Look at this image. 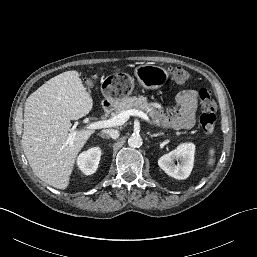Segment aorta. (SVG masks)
Segmentation results:
<instances>
[{"instance_id":"aorta-1","label":"aorta","mask_w":257,"mask_h":257,"mask_svg":"<svg viewBox=\"0 0 257 257\" xmlns=\"http://www.w3.org/2000/svg\"><path fill=\"white\" fill-rule=\"evenodd\" d=\"M143 143L142 137L137 134H133L128 139V145L132 148H139Z\"/></svg>"}]
</instances>
